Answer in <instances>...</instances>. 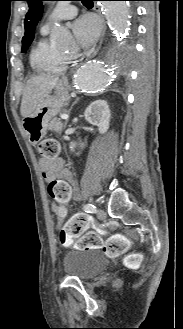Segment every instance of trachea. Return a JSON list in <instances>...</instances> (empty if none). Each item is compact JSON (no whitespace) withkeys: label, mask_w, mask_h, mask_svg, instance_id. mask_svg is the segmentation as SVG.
I'll list each match as a JSON object with an SVG mask.
<instances>
[{"label":"trachea","mask_w":183,"mask_h":329,"mask_svg":"<svg viewBox=\"0 0 183 329\" xmlns=\"http://www.w3.org/2000/svg\"><path fill=\"white\" fill-rule=\"evenodd\" d=\"M80 1H82V3H83L85 6L92 4V0H80Z\"/></svg>","instance_id":"3493384b"}]
</instances>
